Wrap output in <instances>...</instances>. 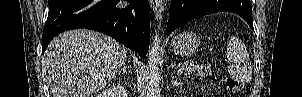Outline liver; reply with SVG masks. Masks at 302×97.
Masks as SVG:
<instances>
[{
  "label": "liver",
  "mask_w": 302,
  "mask_h": 97,
  "mask_svg": "<svg viewBox=\"0 0 302 97\" xmlns=\"http://www.w3.org/2000/svg\"><path fill=\"white\" fill-rule=\"evenodd\" d=\"M126 55L124 45L95 31L58 35L43 57L53 97H93L114 78Z\"/></svg>",
  "instance_id": "liver-1"
}]
</instances>
